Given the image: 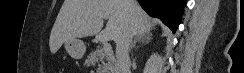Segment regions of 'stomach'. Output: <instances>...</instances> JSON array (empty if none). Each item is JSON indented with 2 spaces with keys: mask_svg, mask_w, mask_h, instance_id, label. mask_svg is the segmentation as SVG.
Returning <instances> with one entry per match:
<instances>
[{
  "mask_svg": "<svg viewBox=\"0 0 244 73\" xmlns=\"http://www.w3.org/2000/svg\"><path fill=\"white\" fill-rule=\"evenodd\" d=\"M65 49L74 59H81L85 54L86 46L83 41L73 39L65 42Z\"/></svg>",
  "mask_w": 244,
  "mask_h": 73,
  "instance_id": "1",
  "label": "stomach"
}]
</instances>
